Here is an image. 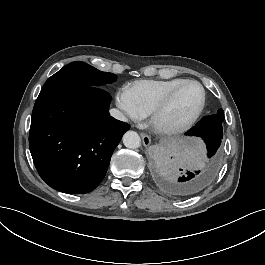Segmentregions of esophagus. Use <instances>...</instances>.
I'll use <instances>...</instances> for the list:
<instances>
[{"mask_svg":"<svg viewBox=\"0 0 265 265\" xmlns=\"http://www.w3.org/2000/svg\"><path fill=\"white\" fill-rule=\"evenodd\" d=\"M140 135H141V138H142V140H143V145H144V146H149L150 143H151V138H150V136L147 135V134L144 133V132H141Z\"/></svg>","mask_w":265,"mask_h":265,"instance_id":"1","label":"esophagus"}]
</instances>
